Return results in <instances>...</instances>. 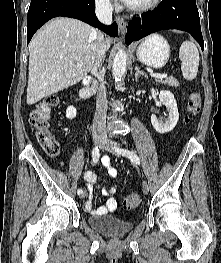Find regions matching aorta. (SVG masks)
<instances>
[{
	"instance_id": "aorta-1",
	"label": "aorta",
	"mask_w": 221,
	"mask_h": 263,
	"mask_svg": "<svg viewBox=\"0 0 221 263\" xmlns=\"http://www.w3.org/2000/svg\"><path fill=\"white\" fill-rule=\"evenodd\" d=\"M127 53L124 49L118 50L113 60L112 75L116 81L121 82L126 73Z\"/></svg>"
}]
</instances>
